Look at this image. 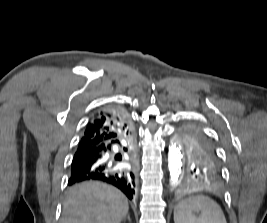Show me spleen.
I'll return each instance as SVG.
<instances>
[{
	"instance_id": "1",
	"label": "spleen",
	"mask_w": 267,
	"mask_h": 223,
	"mask_svg": "<svg viewBox=\"0 0 267 223\" xmlns=\"http://www.w3.org/2000/svg\"><path fill=\"white\" fill-rule=\"evenodd\" d=\"M200 211L199 217L193 212ZM175 223H227L221 207L207 196L182 200L174 209Z\"/></svg>"
}]
</instances>
